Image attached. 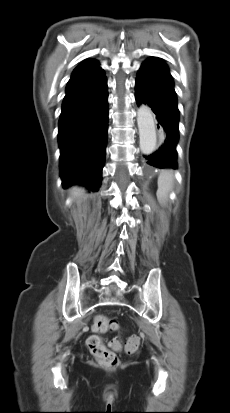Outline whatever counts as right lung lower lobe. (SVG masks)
I'll list each match as a JSON object with an SVG mask.
<instances>
[{
	"label": "right lung lower lobe",
	"instance_id": "1",
	"mask_svg": "<svg viewBox=\"0 0 230 413\" xmlns=\"http://www.w3.org/2000/svg\"><path fill=\"white\" fill-rule=\"evenodd\" d=\"M108 130V89L97 67L70 78L62 103L58 142L64 188L79 184L97 191L102 180Z\"/></svg>",
	"mask_w": 230,
	"mask_h": 413
}]
</instances>
